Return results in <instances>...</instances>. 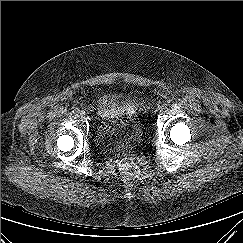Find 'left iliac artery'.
Returning <instances> with one entry per match:
<instances>
[{
	"label": "left iliac artery",
	"instance_id": "left-iliac-artery-1",
	"mask_svg": "<svg viewBox=\"0 0 243 243\" xmlns=\"http://www.w3.org/2000/svg\"><path fill=\"white\" fill-rule=\"evenodd\" d=\"M167 106H169V102H166V103L164 104V107H167Z\"/></svg>",
	"mask_w": 243,
	"mask_h": 243
}]
</instances>
